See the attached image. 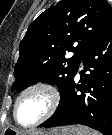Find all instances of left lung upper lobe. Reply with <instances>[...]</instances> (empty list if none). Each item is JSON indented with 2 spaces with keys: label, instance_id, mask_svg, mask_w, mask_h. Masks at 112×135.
Instances as JSON below:
<instances>
[{
  "label": "left lung upper lobe",
  "instance_id": "obj_1",
  "mask_svg": "<svg viewBox=\"0 0 112 135\" xmlns=\"http://www.w3.org/2000/svg\"><path fill=\"white\" fill-rule=\"evenodd\" d=\"M112 24L107 0H61L38 16L19 45L12 91L38 82L64 94L80 60ZM69 52H74L69 57Z\"/></svg>",
  "mask_w": 112,
  "mask_h": 135
}]
</instances>
